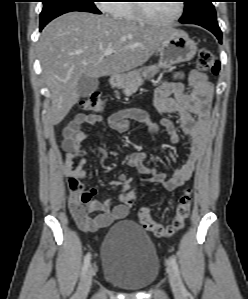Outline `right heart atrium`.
I'll return each mask as SVG.
<instances>
[{
    "instance_id": "1",
    "label": "right heart atrium",
    "mask_w": 248,
    "mask_h": 299,
    "mask_svg": "<svg viewBox=\"0 0 248 299\" xmlns=\"http://www.w3.org/2000/svg\"><path fill=\"white\" fill-rule=\"evenodd\" d=\"M98 4L99 9L105 13L115 14L118 2L114 0H101Z\"/></svg>"
}]
</instances>
